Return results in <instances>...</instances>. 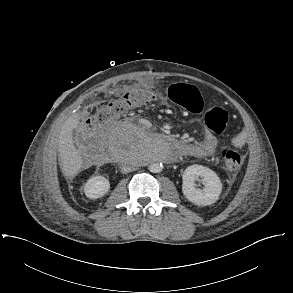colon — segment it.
<instances>
[{
	"mask_svg": "<svg viewBox=\"0 0 293 293\" xmlns=\"http://www.w3.org/2000/svg\"><path fill=\"white\" fill-rule=\"evenodd\" d=\"M152 96V91L147 88H130L122 97L97 107L88 119V130L94 133L100 131L117 116L151 103ZM170 98L173 103L190 112L199 113L203 109V99L195 86L189 84L174 85ZM204 122L212 132L221 134L228 125L229 112L220 107H211L205 113ZM222 160L225 168L230 172H236L242 164L241 155L231 149L223 150Z\"/></svg>",
	"mask_w": 293,
	"mask_h": 293,
	"instance_id": "1",
	"label": "colon"
}]
</instances>
